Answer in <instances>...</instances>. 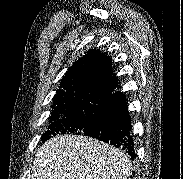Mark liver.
<instances>
[{"label":"liver","instance_id":"1","mask_svg":"<svg viewBox=\"0 0 183 179\" xmlns=\"http://www.w3.org/2000/svg\"><path fill=\"white\" fill-rule=\"evenodd\" d=\"M131 172L120 149L83 135H61L38 149L31 179H126Z\"/></svg>","mask_w":183,"mask_h":179}]
</instances>
